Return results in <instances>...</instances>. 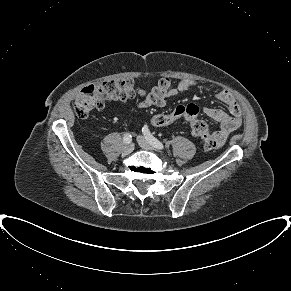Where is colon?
Returning a JSON list of instances; mask_svg holds the SVG:
<instances>
[{
    "label": "colon",
    "mask_w": 291,
    "mask_h": 291,
    "mask_svg": "<svg viewBox=\"0 0 291 291\" xmlns=\"http://www.w3.org/2000/svg\"><path fill=\"white\" fill-rule=\"evenodd\" d=\"M144 94V91L133 80L104 81L84 87L76 96L74 111L80 118H86L94 110L102 109L107 102L125 101ZM198 108L195 105L177 106L169 113L156 114L151 123L157 127L167 126L175 121L185 119L190 123L192 133L201 138L206 151L218 148L219 141L210 133L207 124L197 118Z\"/></svg>",
    "instance_id": "1"
}]
</instances>
